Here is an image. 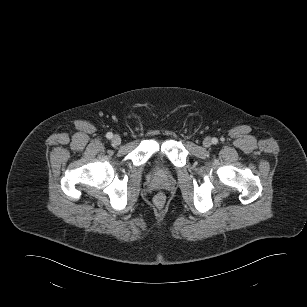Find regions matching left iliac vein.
Wrapping results in <instances>:
<instances>
[{
    "label": "left iliac vein",
    "instance_id": "4c4485c4",
    "mask_svg": "<svg viewBox=\"0 0 307 307\" xmlns=\"http://www.w3.org/2000/svg\"><path fill=\"white\" fill-rule=\"evenodd\" d=\"M211 139L210 138H206L204 141H203V145L205 147H210L211 146Z\"/></svg>",
    "mask_w": 307,
    "mask_h": 307
}]
</instances>
